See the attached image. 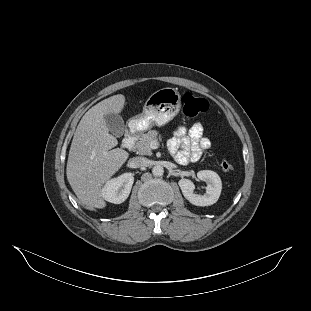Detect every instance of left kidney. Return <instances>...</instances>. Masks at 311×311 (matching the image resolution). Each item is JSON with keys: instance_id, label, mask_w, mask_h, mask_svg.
<instances>
[{"instance_id": "left-kidney-1", "label": "left kidney", "mask_w": 311, "mask_h": 311, "mask_svg": "<svg viewBox=\"0 0 311 311\" xmlns=\"http://www.w3.org/2000/svg\"><path fill=\"white\" fill-rule=\"evenodd\" d=\"M197 177L208 183L206 186L207 192L205 194H197L194 192L195 185L192 181L181 180L179 186L185 198L197 206H207L216 203L222 192L220 176L211 170H201L197 173Z\"/></svg>"}]
</instances>
